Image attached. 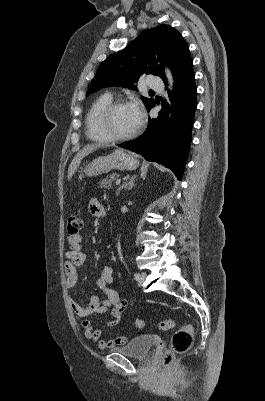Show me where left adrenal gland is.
Returning a JSON list of instances; mask_svg holds the SVG:
<instances>
[{
    "label": "left adrenal gland",
    "mask_w": 265,
    "mask_h": 401,
    "mask_svg": "<svg viewBox=\"0 0 265 401\" xmlns=\"http://www.w3.org/2000/svg\"><path fill=\"white\" fill-rule=\"evenodd\" d=\"M138 174H133V176H131V178H129V180H127V182H124V184H121V186H119L118 190H117V196L120 192V190H122V188H125V190H131V188H133V186H136L135 184V178H137Z\"/></svg>",
    "instance_id": "1"
}]
</instances>
